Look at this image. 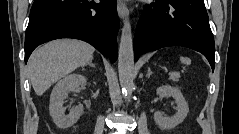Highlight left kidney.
Instances as JSON below:
<instances>
[{
  "label": "left kidney",
  "mask_w": 239,
  "mask_h": 134,
  "mask_svg": "<svg viewBox=\"0 0 239 134\" xmlns=\"http://www.w3.org/2000/svg\"><path fill=\"white\" fill-rule=\"evenodd\" d=\"M157 95L160 97H173L175 103L177 105V112L174 116L164 117L161 112L154 113V121L155 123L164 130L173 129L178 126L183 120L186 118L189 107L188 104L183 97L181 91L178 88L172 87L170 85L160 86L156 90Z\"/></svg>",
  "instance_id": "left-kidney-1"
}]
</instances>
